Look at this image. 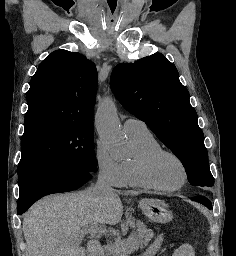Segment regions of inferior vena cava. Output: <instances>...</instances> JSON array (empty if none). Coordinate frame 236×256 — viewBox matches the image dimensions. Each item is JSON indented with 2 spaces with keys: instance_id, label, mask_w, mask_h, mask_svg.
I'll return each mask as SVG.
<instances>
[{
  "instance_id": "inferior-vena-cava-1",
  "label": "inferior vena cava",
  "mask_w": 236,
  "mask_h": 256,
  "mask_svg": "<svg viewBox=\"0 0 236 256\" xmlns=\"http://www.w3.org/2000/svg\"><path fill=\"white\" fill-rule=\"evenodd\" d=\"M91 190L95 196H100V198H103L105 194H113V188H111L108 180L104 178L103 172H99L98 180Z\"/></svg>"
}]
</instances>
